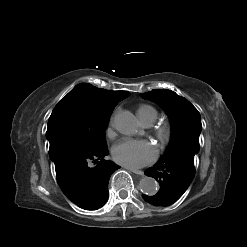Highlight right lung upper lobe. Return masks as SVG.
Segmentation results:
<instances>
[{"mask_svg": "<svg viewBox=\"0 0 247 247\" xmlns=\"http://www.w3.org/2000/svg\"><path fill=\"white\" fill-rule=\"evenodd\" d=\"M70 93H77L89 100L95 107L102 109L115 108L121 100L129 96L127 91H109L96 88L88 83H81L75 86Z\"/></svg>", "mask_w": 247, "mask_h": 247, "instance_id": "cb5924a9", "label": "right lung upper lobe"}]
</instances>
